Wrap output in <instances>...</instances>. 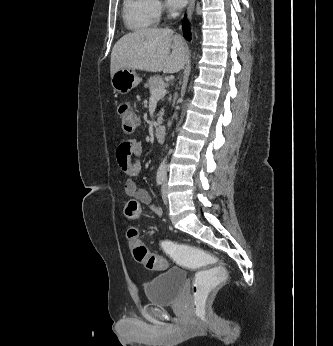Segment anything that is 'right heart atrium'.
<instances>
[{"label": "right heart atrium", "mask_w": 333, "mask_h": 346, "mask_svg": "<svg viewBox=\"0 0 333 346\" xmlns=\"http://www.w3.org/2000/svg\"><path fill=\"white\" fill-rule=\"evenodd\" d=\"M150 5L154 18L158 20L165 10L164 4L161 0H150Z\"/></svg>", "instance_id": "obj_1"}]
</instances>
